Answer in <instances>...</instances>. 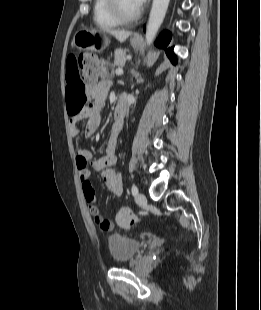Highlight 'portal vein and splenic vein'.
Wrapping results in <instances>:
<instances>
[{"mask_svg":"<svg viewBox=\"0 0 261 310\" xmlns=\"http://www.w3.org/2000/svg\"><path fill=\"white\" fill-rule=\"evenodd\" d=\"M115 73H116V75H122L123 74V70L118 68V69H116Z\"/></svg>","mask_w":261,"mask_h":310,"instance_id":"obj_1","label":"portal vein and splenic vein"}]
</instances>
